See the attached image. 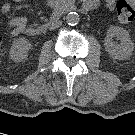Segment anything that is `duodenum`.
I'll list each match as a JSON object with an SVG mask.
<instances>
[{
  "label": "duodenum",
  "mask_w": 135,
  "mask_h": 135,
  "mask_svg": "<svg viewBox=\"0 0 135 135\" xmlns=\"http://www.w3.org/2000/svg\"><path fill=\"white\" fill-rule=\"evenodd\" d=\"M59 6H61L63 8V10L66 12L75 11V10H80V11L85 12L92 7V4H90L86 0H82L77 5H75L71 2V0H67L62 4L59 3ZM30 31L34 35H38L41 33V29H39V28H33Z\"/></svg>",
  "instance_id": "obj_1"
}]
</instances>
